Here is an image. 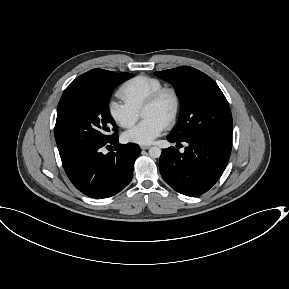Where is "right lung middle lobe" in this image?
I'll use <instances>...</instances> for the list:
<instances>
[{
    "label": "right lung middle lobe",
    "mask_w": 289,
    "mask_h": 289,
    "mask_svg": "<svg viewBox=\"0 0 289 289\" xmlns=\"http://www.w3.org/2000/svg\"><path fill=\"white\" fill-rule=\"evenodd\" d=\"M130 73H113L95 86L64 91L57 108L55 139L61 160L106 143L117 134L108 109L114 87L131 78Z\"/></svg>",
    "instance_id": "dd1d6c3e"
}]
</instances>
